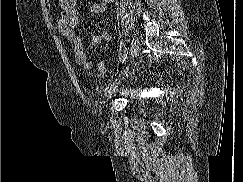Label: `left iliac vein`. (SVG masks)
<instances>
[{
    "label": "left iliac vein",
    "mask_w": 243,
    "mask_h": 182,
    "mask_svg": "<svg viewBox=\"0 0 243 182\" xmlns=\"http://www.w3.org/2000/svg\"><path fill=\"white\" fill-rule=\"evenodd\" d=\"M139 51H140V42L137 38H133L130 44V63L132 62V59L139 53ZM130 63H128L126 68L123 69L122 73L119 75V78L116 79L111 85V87L109 88L108 90L109 96L115 93L118 85L121 83V80L128 76Z\"/></svg>",
    "instance_id": "obj_1"
}]
</instances>
